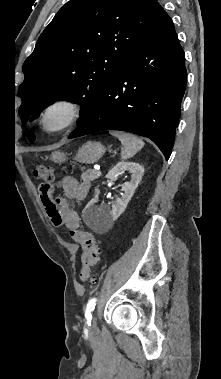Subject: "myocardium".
Segmentation results:
<instances>
[{
	"mask_svg": "<svg viewBox=\"0 0 221 379\" xmlns=\"http://www.w3.org/2000/svg\"><path fill=\"white\" fill-rule=\"evenodd\" d=\"M82 114L83 106L79 101L71 97H58L41 108L37 124L41 132L56 134L77 123Z\"/></svg>",
	"mask_w": 221,
	"mask_h": 379,
	"instance_id": "myocardium-1",
	"label": "myocardium"
}]
</instances>
